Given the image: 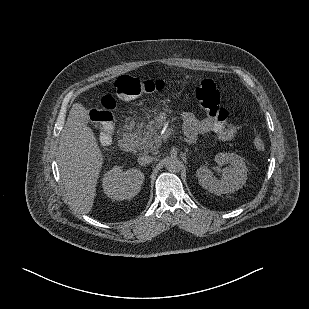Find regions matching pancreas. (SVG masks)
Listing matches in <instances>:
<instances>
[{
  "mask_svg": "<svg viewBox=\"0 0 309 309\" xmlns=\"http://www.w3.org/2000/svg\"><path fill=\"white\" fill-rule=\"evenodd\" d=\"M136 141L139 149L157 152L162 144V137L157 130H144L138 133Z\"/></svg>",
  "mask_w": 309,
  "mask_h": 309,
  "instance_id": "1",
  "label": "pancreas"
}]
</instances>
